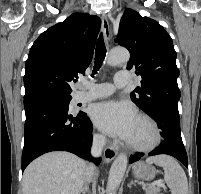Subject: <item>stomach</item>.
<instances>
[{
  "label": "stomach",
  "instance_id": "0dacf381",
  "mask_svg": "<svg viewBox=\"0 0 201 194\" xmlns=\"http://www.w3.org/2000/svg\"><path fill=\"white\" fill-rule=\"evenodd\" d=\"M133 175L135 178L143 180V181H150L154 179L156 175V169L144 162L136 163L133 168Z\"/></svg>",
  "mask_w": 201,
  "mask_h": 194
}]
</instances>
